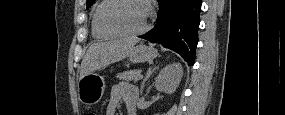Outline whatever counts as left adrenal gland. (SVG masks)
<instances>
[{
    "mask_svg": "<svg viewBox=\"0 0 285 115\" xmlns=\"http://www.w3.org/2000/svg\"><path fill=\"white\" fill-rule=\"evenodd\" d=\"M158 68V66H152L147 70L146 76L141 84V88H140V93L143 94V90L145 87V82L148 80V78L151 76V74Z\"/></svg>",
    "mask_w": 285,
    "mask_h": 115,
    "instance_id": "a2214340",
    "label": "left adrenal gland"
}]
</instances>
